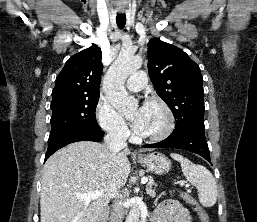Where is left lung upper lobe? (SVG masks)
I'll list each match as a JSON object with an SVG mask.
<instances>
[{
    "mask_svg": "<svg viewBox=\"0 0 257 222\" xmlns=\"http://www.w3.org/2000/svg\"><path fill=\"white\" fill-rule=\"evenodd\" d=\"M148 72L157 94L171 109L178 132L204 128V90L199 66L180 48L158 38L148 42Z\"/></svg>",
    "mask_w": 257,
    "mask_h": 222,
    "instance_id": "left-lung-upper-lobe-1",
    "label": "left lung upper lobe"
}]
</instances>
